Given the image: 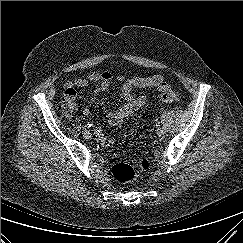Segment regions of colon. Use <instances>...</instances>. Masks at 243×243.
<instances>
[{
    "label": "colon",
    "instance_id": "5ec220e1",
    "mask_svg": "<svg viewBox=\"0 0 243 243\" xmlns=\"http://www.w3.org/2000/svg\"><path fill=\"white\" fill-rule=\"evenodd\" d=\"M160 100L165 103H177L181 96L174 91L164 90L160 95ZM73 105L66 97L64 99V112L69 115L73 111ZM150 170V162L147 159H141L137 168L128 163H117L111 169L112 178L118 183H130L136 181L141 173Z\"/></svg>",
    "mask_w": 243,
    "mask_h": 243
}]
</instances>
